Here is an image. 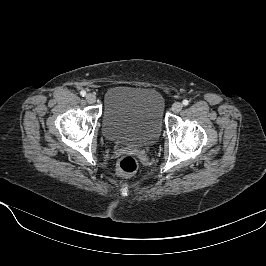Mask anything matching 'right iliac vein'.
<instances>
[{
  "label": "right iliac vein",
  "instance_id": "63e3f726",
  "mask_svg": "<svg viewBox=\"0 0 266 266\" xmlns=\"http://www.w3.org/2000/svg\"><path fill=\"white\" fill-rule=\"evenodd\" d=\"M86 101L90 104H93L96 101V96L92 93H89L86 95Z\"/></svg>",
  "mask_w": 266,
  "mask_h": 266
}]
</instances>
